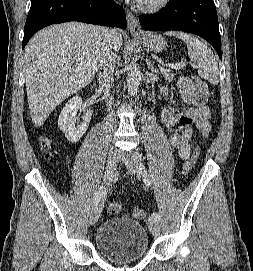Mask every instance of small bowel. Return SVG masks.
Here are the masks:
<instances>
[{
	"label": "small bowel",
	"instance_id": "c3829d8e",
	"mask_svg": "<svg viewBox=\"0 0 253 271\" xmlns=\"http://www.w3.org/2000/svg\"><path fill=\"white\" fill-rule=\"evenodd\" d=\"M178 86L184 101L190 107L179 112L164 107L161 111V122L170 132L171 146L177 149L178 156L182 160H187L194 147L192 139L195 133L198 131L206 137L211 131L210 111L206 106V96L199 90L194 80L180 78ZM161 92L167 96L165 88L162 87Z\"/></svg>",
	"mask_w": 253,
	"mask_h": 271
}]
</instances>
